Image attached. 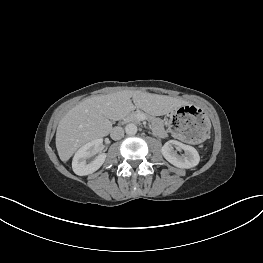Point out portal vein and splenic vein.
<instances>
[{"label": "portal vein and splenic vein", "instance_id": "1", "mask_svg": "<svg viewBox=\"0 0 263 263\" xmlns=\"http://www.w3.org/2000/svg\"><path fill=\"white\" fill-rule=\"evenodd\" d=\"M142 119H145V116H141Z\"/></svg>", "mask_w": 263, "mask_h": 263}]
</instances>
